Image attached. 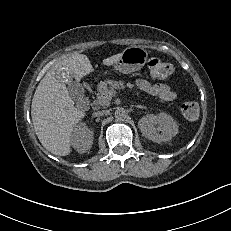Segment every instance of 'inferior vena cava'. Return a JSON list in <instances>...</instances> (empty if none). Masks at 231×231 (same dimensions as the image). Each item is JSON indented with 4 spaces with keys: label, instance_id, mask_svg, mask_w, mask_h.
<instances>
[{
    "label": "inferior vena cava",
    "instance_id": "inferior-vena-cava-1",
    "mask_svg": "<svg viewBox=\"0 0 231 231\" xmlns=\"http://www.w3.org/2000/svg\"><path fill=\"white\" fill-rule=\"evenodd\" d=\"M107 113V111L106 110H102V111H97V112H94V116L95 117H98V116H103V115H105Z\"/></svg>",
    "mask_w": 231,
    "mask_h": 231
}]
</instances>
